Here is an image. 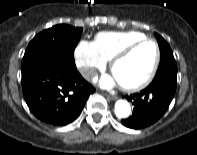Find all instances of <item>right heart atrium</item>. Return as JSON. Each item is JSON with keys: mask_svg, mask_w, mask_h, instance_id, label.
Masks as SVG:
<instances>
[{"mask_svg": "<svg viewBox=\"0 0 197 155\" xmlns=\"http://www.w3.org/2000/svg\"><path fill=\"white\" fill-rule=\"evenodd\" d=\"M74 57L76 66L84 78H91L96 70L103 69L107 59L99 51L93 41L81 40L75 50Z\"/></svg>", "mask_w": 197, "mask_h": 155, "instance_id": "1", "label": "right heart atrium"}]
</instances>
